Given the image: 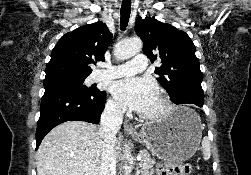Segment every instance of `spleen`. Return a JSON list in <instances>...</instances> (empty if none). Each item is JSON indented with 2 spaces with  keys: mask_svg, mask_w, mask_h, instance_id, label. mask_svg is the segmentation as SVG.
Wrapping results in <instances>:
<instances>
[{
  "mask_svg": "<svg viewBox=\"0 0 251 175\" xmlns=\"http://www.w3.org/2000/svg\"><path fill=\"white\" fill-rule=\"evenodd\" d=\"M202 149H203V159H209L211 155V143L208 137H203L201 141Z\"/></svg>",
  "mask_w": 251,
  "mask_h": 175,
  "instance_id": "3e777b00",
  "label": "spleen"
}]
</instances>
